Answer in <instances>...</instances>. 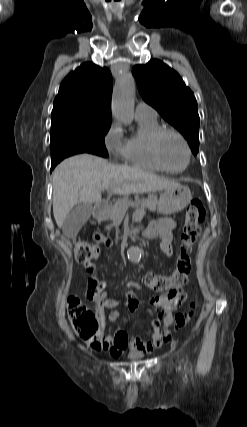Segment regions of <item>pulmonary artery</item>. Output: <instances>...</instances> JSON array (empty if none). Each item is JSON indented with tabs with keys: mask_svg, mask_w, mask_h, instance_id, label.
<instances>
[{
	"mask_svg": "<svg viewBox=\"0 0 247 427\" xmlns=\"http://www.w3.org/2000/svg\"><path fill=\"white\" fill-rule=\"evenodd\" d=\"M157 113L153 107L145 102H139L135 109L136 118L139 117H156Z\"/></svg>",
	"mask_w": 247,
	"mask_h": 427,
	"instance_id": "1",
	"label": "pulmonary artery"
}]
</instances>
